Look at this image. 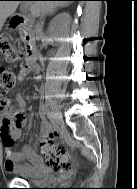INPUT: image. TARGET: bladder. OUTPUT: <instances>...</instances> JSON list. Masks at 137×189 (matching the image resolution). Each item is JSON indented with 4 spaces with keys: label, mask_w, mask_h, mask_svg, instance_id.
I'll return each mask as SVG.
<instances>
[{
    "label": "bladder",
    "mask_w": 137,
    "mask_h": 189,
    "mask_svg": "<svg viewBox=\"0 0 137 189\" xmlns=\"http://www.w3.org/2000/svg\"><path fill=\"white\" fill-rule=\"evenodd\" d=\"M21 176L29 181H38L46 185L56 182V176L46 168H35L27 174H21Z\"/></svg>",
    "instance_id": "31cf9c89"
}]
</instances>
